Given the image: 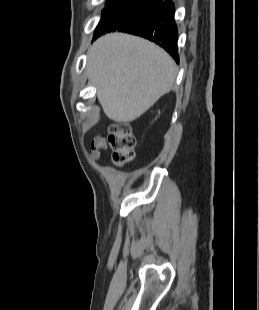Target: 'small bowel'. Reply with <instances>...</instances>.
<instances>
[{
  "instance_id": "c3829d8e",
  "label": "small bowel",
  "mask_w": 259,
  "mask_h": 310,
  "mask_svg": "<svg viewBox=\"0 0 259 310\" xmlns=\"http://www.w3.org/2000/svg\"><path fill=\"white\" fill-rule=\"evenodd\" d=\"M107 149L106 141L103 137L98 136L94 138L90 149V158L98 160L102 156V153Z\"/></svg>"
}]
</instances>
